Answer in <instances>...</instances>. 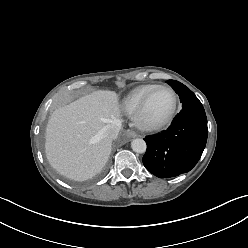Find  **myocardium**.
I'll return each instance as SVG.
<instances>
[{"label": "myocardium", "instance_id": "1", "mask_svg": "<svg viewBox=\"0 0 248 248\" xmlns=\"http://www.w3.org/2000/svg\"><path fill=\"white\" fill-rule=\"evenodd\" d=\"M156 89H164L171 94L172 106L169 112L163 118L156 121H149L145 118V110L151 93ZM177 105H178L177 95L172 88L165 85H155L146 93L137 111L135 112L134 114L135 124L139 129L144 131H159L165 128L166 126H168L172 122L177 111Z\"/></svg>", "mask_w": 248, "mask_h": 248}]
</instances>
